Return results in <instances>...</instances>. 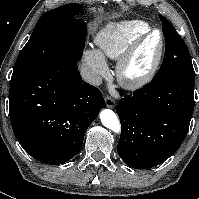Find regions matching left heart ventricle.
<instances>
[{"instance_id": "1", "label": "left heart ventricle", "mask_w": 199, "mask_h": 199, "mask_svg": "<svg viewBox=\"0 0 199 199\" xmlns=\"http://www.w3.org/2000/svg\"><path fill=\"white\" fill-rule=\"evenodd\" d=\"M160 35L155 32L151 34L139 47L129 68L133 75L145 72L152 64L159 48Z\"/></svg>"}]
</instances>
